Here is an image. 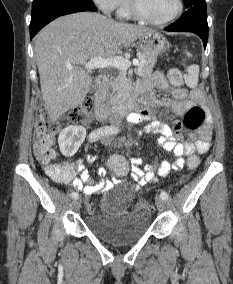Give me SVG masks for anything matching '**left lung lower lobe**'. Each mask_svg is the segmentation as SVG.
Returning <instances> with one entry per match:
<instances>
[{
    "label": "left lung lower lobe",
    "instance_id": "1",
    "mask_svg": "<svg viewBox=\"0 0 233 284\" xmlns=\"http://www.w3.org/2000/svg\"><path fill=\"white\" fill-rule=\"evenodd\" d=\"M165 30L170 32H193L203 40L206 48L208 40L206 3L188 9L184 15L166 27Z\"/></svg>",
    "mask_w": 233,
    "mask_h": 284
}]
</instances>
